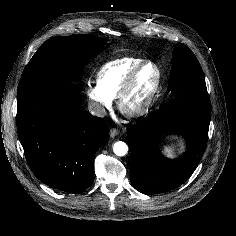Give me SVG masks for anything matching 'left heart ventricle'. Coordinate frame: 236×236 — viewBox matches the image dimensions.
Instances as JSON below:
<instances>
[{
  "instance_id": "obj_1",
  "label": "left heart ventricle",
  "mask_w": 236,
  "mask_h": 236,
  "mask_svg": "<svg viewBox=\"0 0 236 236\" xmlns=\"http://www.w3.org/2000/svg\"><path fill=\"white\" fill-rule=\"evenodd\" d=\"M157 81V71L153 66L143 68L135 79L133 87L125 99L124 109L133 111L148 99Z\"/></svg>"
}]
</instances>
